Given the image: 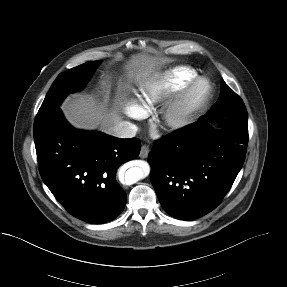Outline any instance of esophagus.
Masks as SVG:
<instances>
[{"instance_id":"34e87169","label":"esophagus","mask_w":287,"mask_h":287,"mask_svg":"<svg viewBox=\"0 0 287 287\" xmlns=\"http://www.w3.org/2000/svg\"><path fill=\"white\" fill-rule=\"evenodd\" d=\"M149 154V146L148 145H142L141 151H140V157L141 158H147Z\"/></svg>"}]
</instances>
